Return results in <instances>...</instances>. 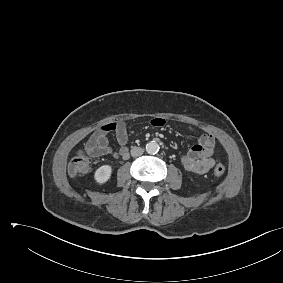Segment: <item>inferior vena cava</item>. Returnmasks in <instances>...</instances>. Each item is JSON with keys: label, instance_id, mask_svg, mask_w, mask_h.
<instances>
[{"label": "inferior vena cava", "instance_id": "602c4592", "mask_svg": "<svg viewBox=\"0 0 283 283\" xmlns=\"http://www.w3.org/2000/svg\"><path fill=\"white\" fill-rule=\"evenodd\" d=\"M143 152H144V149L141 148V147H133V148L131 149V155H132L133 157L141 156V155L143 154Z\"/></svg>", "mask_w": 283, "mask_h": 283}]
</instances>
